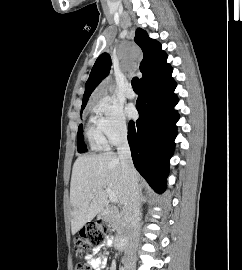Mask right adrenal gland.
<instances>
[{
  "label": "right adrenal gland",
  "mask_w": 242,
  "mask_h": 270,
  "mask_svg": "<svg viewBox=\"0 0 242 270\" xmlns=\"http://www.w3.org/2000/svg\"><path fill=\"white\" fill-rule=\"evenodd\" d=\"M140 199H141V202L144 201V196L142 194V191H140Z\"/></svg>",
  "instance_id": "obj_1"
}]
</instances>
